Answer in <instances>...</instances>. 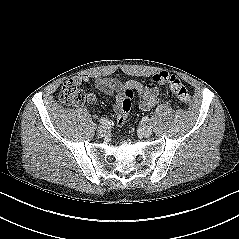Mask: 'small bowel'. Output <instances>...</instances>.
<instances>
[{
    "label": "small bowel",
    "mask_w": 239,
    "mask_h": 239,
    "mask_svg": "<svg viewBox=\"0 0 239 239\" xmlns=\"http://www.w3.org/2000/svg\"><path fill=\"white\" fill-rule=\"evenodd\" d=\"M88 76H77L74 81L78 84L89 82ZM94 88L98 92L115 98L113 105L114 111L117 113L120 109V102L125 89H132L138 92V105L142 110H150L159 102V90L154 84L143 86L140 82L130 80L121 83L115 78H97L94 80ZM88 103L94 104L97 101L95 93L88 94Z\"/></svg>",
    "instance_id": "small-bowel-1"
}]
</instances>
